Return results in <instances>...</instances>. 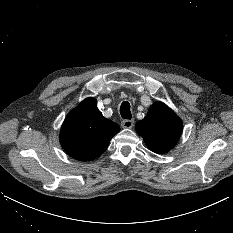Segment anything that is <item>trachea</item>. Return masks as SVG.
Returning a JSON list of instances; mask_svg holds the SVG:
<instances>
[{"instance_id":"1","label":"trachea","mask_w":233,"mask_h":233,"mask_svg":"<svg viewBox=\"0 0 233 233\" xmlns=\"http://www.w3.org/2000/svg\"><path fill=\"white\" fill-rule=\"evenodd\" d=\"M120 114L123 119H131L130 104L127 101L122 102L120 106Z\"/></svg>"}]
</instances>
